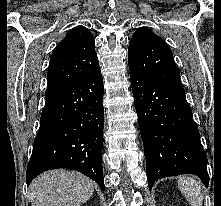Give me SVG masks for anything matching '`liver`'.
<instances>
[{"label": "liver", "instance_id": "obj_1", "mask_svg": "<svg viewBox=\"0 0 221 206\" xmlns=\"http://www.w3.org/2000/svg\"><path fill=\"white\" fill-rule=\"evenodd\" d=\"M95 183L81 173L54 170L30 186L32 206H80L92 196Z\"/></svg>", "mask_w": 221, "mask_h": 206}]
</instances>
